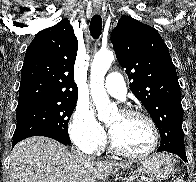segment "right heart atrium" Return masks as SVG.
Segmentation results:
<instances>
[{"label": "right heart atrium", "instance_id": "d8ad5b80", "mask_svg": "<svg viewBox=\"0 0 196 182\" xmlns=\"http://www.w3.org/2000/svg\"><path fill=\"white\" fill-rule=\"evenodd\" d=\"M69 134L73 143L87 153L100 151L106 143L103 127L86 104L76 106L69 125Z\"/></svg>", "mask_w": 196, "mask_h": 182}]
</instances>
